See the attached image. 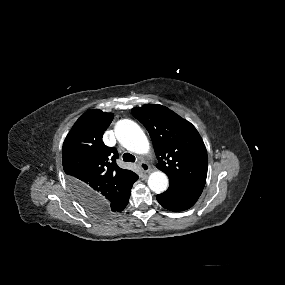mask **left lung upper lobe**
Returning <instances> with one entry per match:
<instances>
[{
	"label": "left lung upper lobe",
	"mask_w": 285,
	"mask_h": 285,
	"mask_svg": "<svg viewBox=\"0 0 285 285\" xmlns=\"http://www.w3.org/2000/svg\"><path fill=\"white\" fill-rule=\"evenodd\" d=\"M132 114L148 130L158 158L157 167L169 181L203 190L207 151L195 127L159 104L133 108Z\"/></svg>",
	"instance_id": "1"
}]
</instances>
